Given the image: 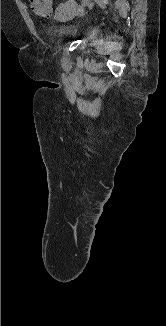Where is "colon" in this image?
Here are the masks:
<instances>
[{"label":"colon","instance_id":"obj_1","mask_svg":"<svg viewBox=\"0 0 166 326\" xmlns=\"http://www.w3.org/2000/svg\"><path fill=\"white\" fill-rule=\"evenodd\" d=\"M76 7L77 4L73 0H68L67 2L60 4L56 9L55 18H60L73 12Z\"/></svg>","mask_w":166,"mask_h":326}]
</instances>
